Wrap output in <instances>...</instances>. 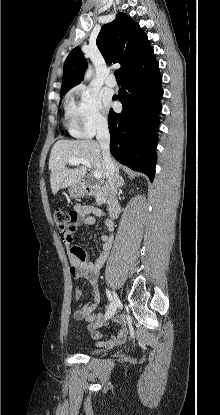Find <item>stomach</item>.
<instances>
[{"mask_svg":"<svg viewBox=\"0 0 220 415\" xmlns=\"http://www.w3.org/2000/svg\"><path fill=\"white\" fill-rule=\"evenodd\" d=\"M69 194L73 198L83 197L86 194V187L82 183H78L73 186H70Z\"/></svg>","mask_w":220,"mask_h":415,"instance_id":"0dacf381","label":"stomach"}]
</instances>
